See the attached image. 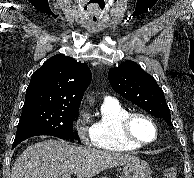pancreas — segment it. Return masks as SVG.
I'll use <instances>...</instances> for the list:
<instances>
[{
	"mask_svg": "<svg viewBox=\"0 0 194 178\" xmlns=\"http://www.w3.org/2000/svg\"><path fill=\"white\" fill-rule=\"evenodd\" d=\"M101 178H109V177H106V176H102Z\"/></svg>",
	"mask_w": 194,
	"mask_h": 178,
	"instance_id": "1",
	"label": "pancreas"
}]
</instances>
